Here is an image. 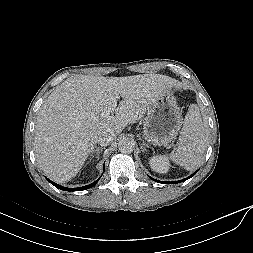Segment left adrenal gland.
<instances>
[{"instance_id": "obj_1", "label": "left adrenal gland", "mask_w": 253, "mask_h": 253, "mask_svg": "<svg viewBox=\"0 0 253 253\" xmlns=\"http://www.w3.org/2000/svg\"><path fill=\"white\" fill-rule=\"evenodd\" d=\"M147 147H148V145L145 142H143L142 147H141L142 151H147L146 150Z\"/></svg>"}]
</instances>
